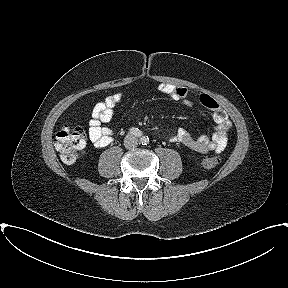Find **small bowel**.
Segmentation results:
<instances>
[{
  "instance_id": "c3829d8e",
  "label": "small bowel",
  "mask_w": 288,
  "mask_h": 288,
  "mask_svg": "<svg viewBox=\"0 0 288 288\" xmlns=\"http://www.w3.org/2000/svg\"><path fill=\"white\" fill-rule=\"evenodd\" d=\"M158 90L168 95L172 100L184 105H193L198 102L211 112L212 119L215 123V132L211 137L200 135L197 138L186 129H179L170 139L172 142H178L191 151L206 154L208 152L220 153L227 144V134L232 124L227 116L226 111L209 95L200 94L192 98L188 90L183 86H176L169 83H161ZM123 99V93L118 92L105 98L104 101L97 103L92 111V118L89 121L88 134L91 142L98 148L110 145L113 138V131L105 126L110 122L114 115V109Z\"/></svg>"
}]
</instances>
